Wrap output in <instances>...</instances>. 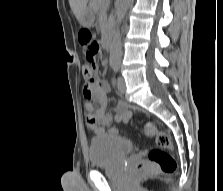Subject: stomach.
<instances>
[{"label":"stomach","mask_w":223,"mask_h":191,"mask_svg":"<svg viewBox=\"0 0 223 191\" xmlns=\"http://www.w3.org/2000/svg\"><path fill=\"white\" fill-rule=\"evenodd\" d=\"M94 20L95 16L93 11L89 7H87L81 15L80 18L81 25L88 27L93 24Z\"/></svg>","instance_id":"1"}]
</instances>
